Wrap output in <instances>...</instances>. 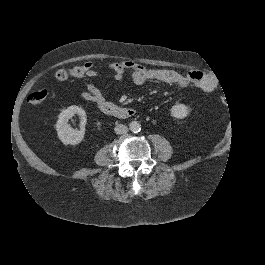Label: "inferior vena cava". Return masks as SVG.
I'll return each instance as SVG.
<instances>
[{
	"instance_id": "obj_1",
	"label": "inferior vena cava",
	"mask_w": 265,
	"mask_h": 265,
	"mask_svg": "<svg viewBox=\"0 0 265 265\" xmlns=\"http://www.w3.org/2000/svg\"><path fill=\"white\" fill-rule=\"evenodd\" d=\"M114 131L116 134H124V133H127L128 128L124 124H118L115 126Z\"/></svg>"
}]
</instances>
